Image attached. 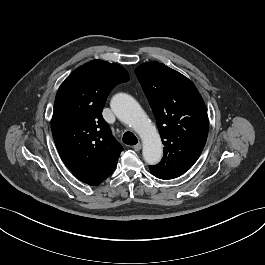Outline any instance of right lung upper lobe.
I'll return each mask as SVG.
<instances>
[{
  "label": "right lung upper lobe",
  "mask_w": 265,
  "mask_h": 265,
  "mask_svg": "<svg viewBox=\"0 0 265 265\" xmlns=\"http://www.w3.org/2000/svg\"><path fill=\"white\" fill-rule=\"evenodd\" d=\"M129 80L118 64L93 60L61 84L54 102L52 134L65 165L80 179H94L118 161L122 146L102 110L110 91Z\"/></svg>",
  "instance_id": "right-lung-upper-lobe-1"
}]
</instances>
